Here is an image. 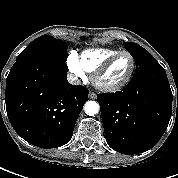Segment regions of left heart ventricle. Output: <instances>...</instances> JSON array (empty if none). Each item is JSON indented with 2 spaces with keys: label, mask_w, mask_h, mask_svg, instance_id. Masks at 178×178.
<instances>
[{
  "label": "left heart ventricle",
  "mask_w": 178,
  "mask_h": 178,
  "mask_svg": "<svg viewBox=\"0 0 178 178\" xmlns=\"http://www.w3.org/2000/svg\"><path fill=\"white\" fill-rule=\"evenodd\" d=\"M132 61L128 55H123L116 59L111 66L100 77V82L104 85H114L122 81L129 73Z\"/></svg>",
  "instance_id": "1"
}]
</instances>
